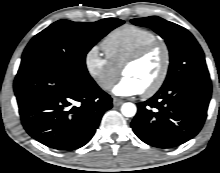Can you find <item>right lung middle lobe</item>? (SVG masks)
Wrapping results in <instances>:
<instances>
[{
	"label": "right lung middle lobe",
	"instance_id": "right-lung-middle-lobe-1",
	"mask_svg": "<svg viewBox=\"0 0 220 173\" xmlns=\"http://www.w3.org/2000/svg\"><path fill=\"white\" fill-rule=\"evenodd\" d=\"M123 23L116 18L93 23L59 20L32 38L23 52L20 69L47 68L76 79L90 77L85 65L86 54Z\"/></svg>",
	"mask_w": 220,
	"mask_h": 173
}]
</instances>
